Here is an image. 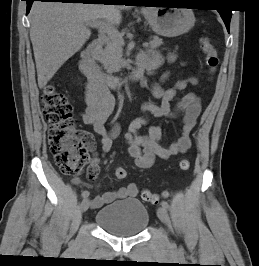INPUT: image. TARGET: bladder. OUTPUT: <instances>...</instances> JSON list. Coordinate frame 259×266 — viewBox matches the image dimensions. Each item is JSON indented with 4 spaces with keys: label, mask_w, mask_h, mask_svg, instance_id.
<instances>
[{
    "label": "bladder",
    "mask_w": 259,
    "mask_h": 266,
    "mask_svg": "<svg viewBox=\"0 0 259 266\" xmlns=\"http://www.w3.org/2000/svg\"><path fill=\"white\" fill-rule=\"evenodd\" d=\"M95 222L106 232L118 237L140 234L148 225L149 213L137 199H125L101 207Z\"/></svg>",
    "instance_id": "1"
}]
</instances>
